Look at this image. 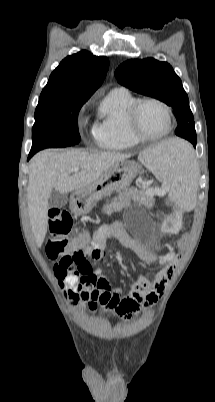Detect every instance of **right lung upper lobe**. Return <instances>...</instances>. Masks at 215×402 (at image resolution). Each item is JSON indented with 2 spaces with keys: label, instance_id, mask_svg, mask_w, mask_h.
Returning a JSON list of instances; mask_svg holds the SVG:
<instances>
[{
  "label": "right lung upper lobe",
  "instance_id": "cb5924a9",
  "mask_svg": "<svg viewBox=\"0 0 215 402\" xmlns=\"http://www.w3.org/2000/svg\"><path fill=\"white\" fill-rule=\"evenodd\" d=\"M108 67L107 57L86 50L68 56L51 73L40 96L90 98L101 86Z\"/></svg>",
  "mask_w": 215,
  "mask_h": 402
}]
</instances>
